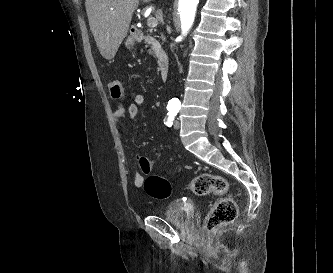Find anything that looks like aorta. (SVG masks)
Returning a JSON list of instances; mask_svg holds the SVG:
<instances>
[{
  "instance_id": "aorta-1",
  "label": "aorta",
  "mask_w": 333,
  "mask_h": 273,
  "mask_svg": "<svg viewBox=\"0 0 333 273\" xmlns=\"http://www.w3.org/2000/svg\"><path fill=\"white\" fill-rule=\"evenodd\" d=\"M198 3L199 0H179L178 2V12L183 36L187 35L193 25ZM173 102H176V99H173Z\"/></svg>"
}]
</instances>
